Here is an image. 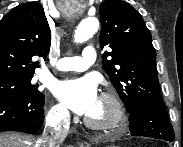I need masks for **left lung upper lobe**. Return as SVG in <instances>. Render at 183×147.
I'll use <instances>...</instances> for the list:
<instances>
[{"label":"left lung upper lobe","mask_w":183,"mask_h":147,"mask_svg":"<svg viewBox=\"0 0 183 147\" xmlns=\"http://www.w3.org/2000/svg\"><path fill=\"white\" fill-rule=\"evenodd\" d=\"M100 46L107 73L127 112L143 105L164 106L152 38L140 13L122 0H106L99 8Z\"/></svg>","instance_id":"5c2ea615"}]
</instances>
